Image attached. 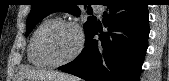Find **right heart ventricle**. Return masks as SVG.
<instances>
[{
  "label": "right heart ventricle",
  "instance_id": "e07e8e85",
  "mask_svg": "<svg viewBox=\"0 0 169 81\" xmlns=\"http://www.w3.org/2000/svg\"><path fill=\"white\" fill-rule=\"evenodd\" d=\"M55 19L53 18H46L44 19L37 28L33 31L27 49V57L30 64L37 66V67H45L47 66L45 62L40 58L38 51H37V39L41 31Z\"/></svg>",
  "mask_w": 169,
  "mask_h": 81
}]
</instances>
